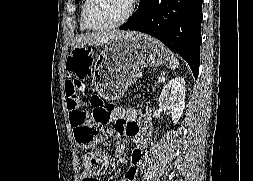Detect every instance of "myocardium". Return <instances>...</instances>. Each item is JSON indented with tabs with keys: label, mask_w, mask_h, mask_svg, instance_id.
<instances>
[{
	"label": "myocardium",
	"mask_w": 253,
	"mask_h": 181,
	"mask_svg": "<svg viewBox=\"0 0 253 181\" xmlns=\"http://www.w3.org/2000/svg\"><path fill=\"white\" fill-rule=\"evenodd\" d=\"M91 3H92V0L85 1L84 7L82 9V21H83L84 26L87 29L94 30V31L109 30V29H114V28L124 25L133 16L135 12V6H136V0H130L129 9L127 13L124 15V17H122L120 20L111 24L96 26V25L91 24L88 19V10Z\"/></svg>",
	"instance_id": "1"
}]
</instances>
